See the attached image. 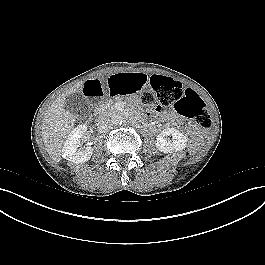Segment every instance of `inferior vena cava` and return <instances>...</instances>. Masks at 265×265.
I'll return each instance as SVG.
<instances>
[{
	"label": "inferior vena cava",
	"instance_id": "1",
	"mask_svg": "<svg viewBox=\"0 0 265 265\" xmlns=\"http://www.w3.org/2000/svg\"><path fill=\"white\" fill-rule=\"evenodd\" d=\"M112 122L109 118H101L97 123V130L99 133H107L112 129Z\"/></svg>",
	"mask_w": 265,
	"mask_h": 265
}]
</instances>
